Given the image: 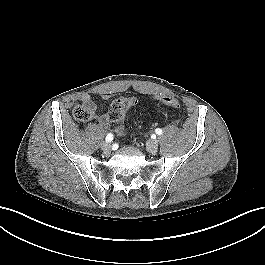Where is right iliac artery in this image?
<instances>
[{"label":"right iliac artery","instance_id":"1","mask_svg":"<svg viewBox=\"0 0 265 265\" xmlns=\"http://www.w3.org/2000/svg\"><path fill=\"white\" fill-rule=\"evenodd\" d=\"M106 142H111L113 140V134L109 133L107 136H106Z\"/></svg>","mask_w":265,"mask_h":265}]
</instances>
